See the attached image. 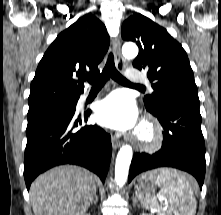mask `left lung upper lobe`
I'll use <instances>...</instances> for the list:
<instances>
[{
    "label": "left lung upper lobe",
    "mask_w": 221,
    "mask_h": 215,
    "mask_svg": "<svg viewBox=\"0 0 221 215\" xmlns=\"http://www.w3.org/2000/svg\"><path fill=\"white\" fill-rule=\"evenodd\" d=\"M121 33L125 41L135 42L139 47L133 66L147 70V77L153 82L154 92L144 98L147 109H156L158 102L166 98L199 105L187 54L166 29L135 13L124 21Z\"/></svg>",
    "instance_id": "obj_1"
}]
</instances>
